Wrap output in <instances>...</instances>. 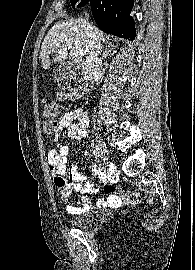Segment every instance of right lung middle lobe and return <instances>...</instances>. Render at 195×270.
<instances>
[{
    "mask_svg": "<svg viewBox=\"0 0 195 270\" xmlns=\"http://www.w3.org/2000/svg\"><path fill=\"white\" fill-rule=\"evenodd\" d=\"M70 2H71V5H72V7L73 8H75V4L78 2V5H77V7H82V6H84V4L81 2V0H70ZM81 2V3H80Z\"/></svg>",
    "mask_w": 195,
    "mask_h": 270,
    "instance_id": "1",
    "label": "right lung middle lobe"
}]
</instances>
